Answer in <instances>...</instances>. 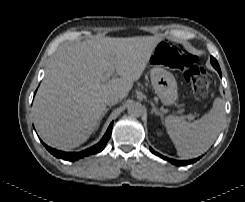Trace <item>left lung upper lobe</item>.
Masks as SVG:
<instances>
[{
  "mask_svg": "<svg viewBox=\"0 0 245 202\" xmlns=\"http://www.w3.org/2000/svg\"><path fill=\"white\" fill-rule=\"evenodd\" d=\"M211 64L213 65V67L219 72V74L221 73L219 64L217 62V60L213 57H211Z\"/></svg>",
  "mask_w": 245,
  "mask_h": 202,
  "instance_id": "left-lung-upper-lobe-1",
  "label": "left lung upper lobe"
}]
</instances>
